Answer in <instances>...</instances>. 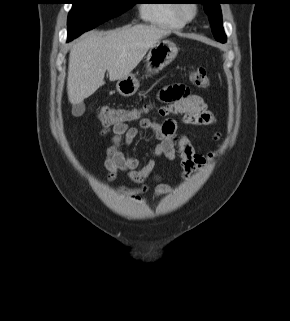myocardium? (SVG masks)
Segmentation results:
<instances>
[{
    "label": "myocardium",
    "mask_w": 290,
    "mask_h": 321,
    "mask_svg": "<svg viewBox=\"0 0 290 321\" xmlns=\"http://www.w3.org/2000/svg\"><path fill=\"white\" fill-rule=\"evenodd\" d=\"M176 5V13L184 23H189L197 17L199 7L196 3L181 2ZM187 8L191 9V13L186 12Z\"/></svg>",
    "instance_id": "f54148a6"
}]
</instances>
